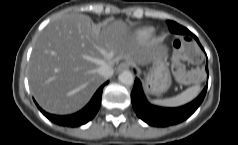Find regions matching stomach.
<instances>
[{"label": "stomach", "instance_id": "obj_1", "mask_svg": "<svg viewBox=\"0 0 238 145\" xmlns=\"http://www.w3.org/2000/svg\"><path fill=\"white\" fill-rule=\"evenodd\" d=\"M160 57L152 62V67L145 76V90L149 94L159 95L171 85V75L166 63L167 52L162 47Z\"/></svg>", "mask_w": 238, "mask_h": 145}]
</instances>
